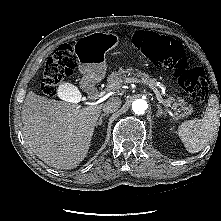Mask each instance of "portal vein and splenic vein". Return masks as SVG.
I'll use <instances>...</instances> for the list:
<instances>
[{
	"mask_svg": "<svg viewBox=\"0 0 221 221\" xmlns=\"http://www.w3.org/2000/svg\"><path fill=\"white\" fill-rule=\"evenodd\" d=\"M127 83H140L142 81L138 80L137 78H130L127 79L126 81ZM143 83V82H142ZM145 84V83H144ZM153 91L154 93L157 95V99L159 101V103H161L162 105H164L165 107H170V105L166 104V102L163 100V98L161 96L158 95V90L156 89L155 86H153L152 84H147ZM111 90H115L114 86L109 87L107 92H102L100 93V99L99 101H103V98L105 96V94H107L108 92H110ZM76 102V101H75ZM78 102V101H77ZM98 103V102H97ZM171 109H174L173 107H171Z\"/></svg>",
	"mask_w": 221,
	"mask_h": 221,
	"instance_id": "portal-vein-and-splenic-vein-1",
	"label": "portal vein and splenic vein"
}]
</instances>
